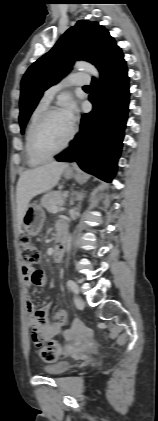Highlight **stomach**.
I'll return each instance as SVG.
<instances>
[{
    "label": "stomach",
    "instance_id": "stomach-1",
    "mask_svg": "<svg viewBox=\"0 0 158 421\" xmlns=\"http://www.w3.org/2000/svg\"><path fill=\"white\" fill-rule=\"evenodd\" d=\"M66 179L78 177V172L71 168H66L63 172ZM45 214L43 209L36 204H29L22 220L24 230L31 236L39 234L43 227Z\"/></svg>",
    "mask_w": 158,
    "mask_h": 421
}]
</instances>
